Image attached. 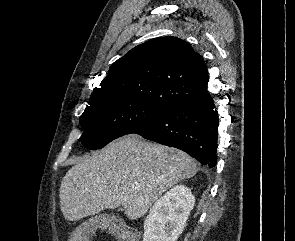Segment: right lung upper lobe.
Instances as JSON below:
<instances>
[{"label":"right lung upper lobe","mask_w":295,"mask_h":241,"mask_svg":"<svg viewBox=\"0 0 295 241\" xmlns=\"http://www.w3.org/2000/svg\"><path fill=\"white\" fill-rule=\"evenodd\" d=\"M208 70L187 42L159 37L115 61L92 95L110 92L145 105L167 108L207 92Z\"/></svg>","instance_id":"right-lung-upper-lobe-1"}]
</instances>
